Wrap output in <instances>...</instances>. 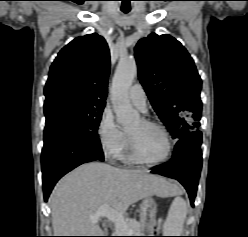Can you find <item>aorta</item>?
Returning <instances> with one entry per match:
<instances>
[{"label":"aorta","mask_w":248,"mask_h":237,"mask_svg":"<svg viewBox=\"0 0 248 237\" xmlns=\"http://www.w3.org/2000/svg\"><path fill=\"white\" fill-rule=\"evenodd\" d=\"M137 74L135 60H121L112 81L111 100L116 114L117 123L127 127L139 118V114L132 108L128 91Z\"/></svg>","instance_id":"762f6f07"}]
</instances>
